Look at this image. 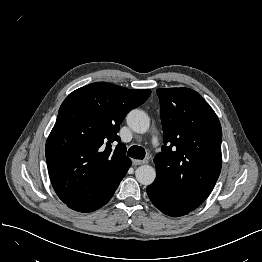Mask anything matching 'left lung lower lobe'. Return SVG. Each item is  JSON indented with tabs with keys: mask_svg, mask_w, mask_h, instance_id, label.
Wrapping results in <instances>:
<instances>
[{
	"mask_svg": "<svg viewBox=\"0 0 262 262\" xmlns=\"http://www.w3.org/2000/svg\"><path fill=\"white\" fill-rule=\"evenodd\" d=\"M147 194L155 207H157L166 215H169L171 217H180L187 215L190 212L180 208L172 201H170L168 197H166L154 186V183L147 187Z\"/></svg>",
	"mask_w": 262,
	"mask_h": 262,
	"instance_id": "obj_1",
	"label": "left lung lower lobe"
}]
</instances>
